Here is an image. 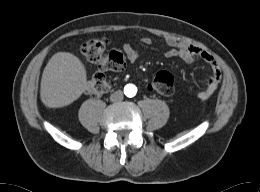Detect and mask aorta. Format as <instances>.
<instances>
[{
    "instance_id": "762f6f07",
    "label": "aorta",
    "mask_w": 260,
    "mask_h": 192,
    "mask_svg": "<svg viewBox=\"0 0 260 192\" xmlns=\"http://www.w3.org/2000/svg\"><path fill=\"white\" fill-rule=\"evenodd\" d=\"M124 92H125V95L128 96V97H133L136 95V92H137V88L135 85L133 84H128L125 86L124 88Z\"/></svg>"
}]
</instances>
